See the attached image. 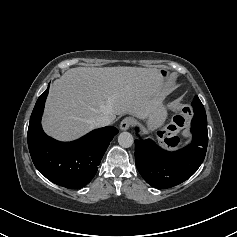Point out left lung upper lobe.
<instances>
[{
  "mask_svg": "<svg viewBox=\"0 0 237 237\" xmlns=\"http://www.w3.org/2000/svg\"><path fill=\"white\" fill-rule=\"evenodd\" d=\"M192 107H193V111H194V116H198V117H202V118H207L204 106L201 103V101L198 98V96L194 97L193 102H192Z\"/></svg>",
  "mask_w": 237,
  "mask_h": 237,
  "instance_id": "left-lung-upper-lobe-1",
  "label": "left lung upper lobe"
}]
</instances>
